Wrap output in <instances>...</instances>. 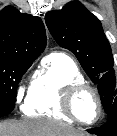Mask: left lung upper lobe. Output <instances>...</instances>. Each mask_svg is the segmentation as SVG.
I'll use <instances>...</instances> for the list:
<instances>
[{
  "instance_id": "1",
  "label": "left lung upper lobe",
  "mask_w": 117,
  "mask_h": 136,
  "mask_svg": "<svg viewBox=\"0 0 117 136\" xmlns=\"http://www.w3.org/2000/svg\"><path fill=\"white\" fill-rule=\"evenodd\" d=\"M46 25L59 46L72 51L98 91L104 110L117 114V90L111 47L101 22L79 1L45 15Z\"/></svg>"
}]
</instances>
